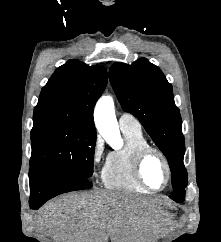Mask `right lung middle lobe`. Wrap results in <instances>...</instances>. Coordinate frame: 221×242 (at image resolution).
I'll use <instances>...</instances> for the list:
<instances>
[{
  "mask_svg": "<svg viewBox=\"0 0 221 242\" xmlns=\"http://www.w3.org/2000/svg\"><path fill=\"white\" fill-rule=\"evenodd\" d=\"M96 132L76 125L32 128L29 173H62L82 178L93 174Z\"/></svg>",
  "mask_w": 221,
  "mask_h": 242,
  "instance_id": "1",
  "label": "right lung middle lobe"
}]
</instances>
